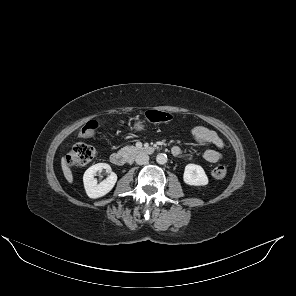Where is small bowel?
<instances>
[{"instance_id":"c3829d8e","label":"small bowel","mask_w":296,"mask_h":296,"mask_svg":"<svg viewBox=\"0 0 296 296\" xmlns=\"http://www.w3.org/2000/svg\"><path fill=\"white\" fill-rule=\"evenodd\" d=\"M189 135L200 144L215 147V149H207L204 151L203 158L205 161L216 163L222 159L224 143L214 131L203 126H196L190 130ZM171 152L173 155L178 156L181 154V149L178 146H173Z\"/></svg>"}]
</instances>
